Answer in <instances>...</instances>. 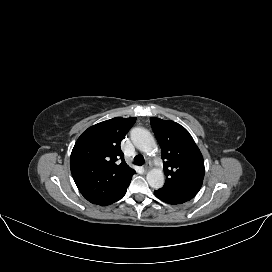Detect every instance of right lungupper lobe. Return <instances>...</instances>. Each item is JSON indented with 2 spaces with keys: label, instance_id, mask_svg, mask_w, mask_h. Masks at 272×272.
<instances>
[{
  "label": "right lung upper lobe",
  "instance_id": "1",
  "mask_svg": "<svg viewBox=\"0 0 272 272\" xmlns=\"http://www.w3.org/2000/svg\"><path fill=\"white\" fill-rule=\"evenodd\" d=\"M136 117H116L89 127L76 141L70 168L81 194L93 204H102L127 186L135 171L130 168L120 143Z\"/></svg>",
  "mask_w": 272,
  "mask_h": 272
}]
</instances>
